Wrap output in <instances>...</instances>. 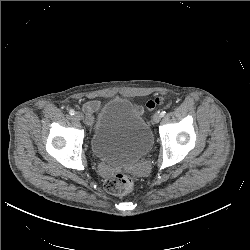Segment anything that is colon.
Returning <instances> with one entry per match:
<instances>
[{"instance_id": "5ec220e1", "label": "colon", "mask_w": 250, "mask_h": 250, "mask_svg": "<svg viewBox=\"0 0 250 250\" xmlns=\"http://www.w3.org/2000/svg\"><path fill=\"white\" fill-rule=\"evenodd\" d=\"M160 103L159 99L147 102L149 110L154 109ZM135 185V177L130 173H116L105 181V189L114 195H125L132 191Z\"/></svg>"}]
</instances>
